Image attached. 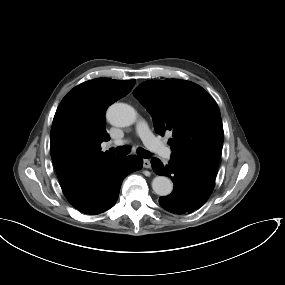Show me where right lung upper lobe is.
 <instances>
[{
  "mask_svg": "<svg viewBox=\"0 0 285 285\" xmlns=\"http://www.w3.org/2000/svg\"><path fill=\"white\" fill-rule=\"evenodd\" d=\"M135 82L109 78L86 81L73 88L58 106L51 128L50 153L69 202L123 159L112 151H101V143L110 140L105 112L126 96Z\"/></svg>",
  "mask_w": 285,
  "mask_h": 285,
  "instance_id": "right-lung-upper-lobe-1",
  "label": "right lung upper lobe"
}]
</instances>
